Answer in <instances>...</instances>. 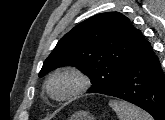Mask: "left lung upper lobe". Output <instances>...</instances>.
<instances>
[{
    "mask_svg": "<svg viewBox=\"0 0 165 120\" xmlns=\"http://www.w3.org/2000/svg\"><path fill=\"white\" fill-rule=\"evenodd\" d=\"M142 38L123 14H97L58 41L39 77L61 66H74L91 79L89 93L107 95L120 85L128 59Z\"/></svg>",
    "mask_w": 165,
    "mask_h": 120,
    "instance_id": "obj_1",
    "label": "left lung upper lobe"
}]
</instances>
